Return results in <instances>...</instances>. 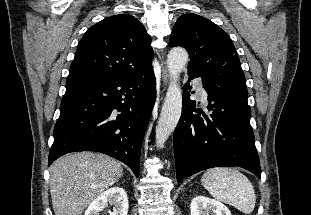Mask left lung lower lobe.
<instances>
[{
	"label": "left lung lower lobe",
	"mask_w": 311,
	"mask_h": 215,
	"mask_svg": "<svg viewBox=\"0 0 311 215\" xmlns=\"http://www.w3.org/2000/svg\"><path fill=\"white\" fill-rule=\"evenodd\" d=\"M188 75L189 80L202 78L209 112L196 108L187 91L191 87L186 83L182 114L174 132L177 181L220 166L243 167L260 178L247 96L222 89L195 67H188Z\"/></svg>",
	"instance_id": "1"
}]
</instances>
